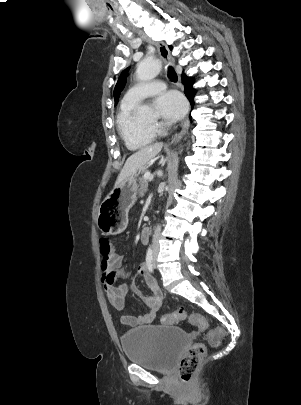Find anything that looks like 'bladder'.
I'll return each instance as SVG.
<instances>
[{"label": "bladder", "mask_w": 301, "mask_h": 405, "mask_svg": "<svg viewBox=\"0 0 301 405\" xmlns=\"http://www.w3.org/2000/svg\"><path fill=\"white\" fill-rule=\"evenodd\" d=\"M121 344L131 363L167 373L186 348L188 336L177 327L149 325L127 331Z\"/></svg>", "instance_id": "obj_1"}]
</instances>
